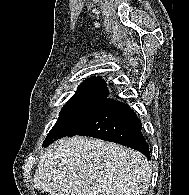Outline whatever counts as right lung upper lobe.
Instances as JSON below:
<instances>
[{
    "instance_id": "obj_1",
    "label": "right lung upper lobe",
    "mask_w": 189,
    "mask_h": 195,
    "mask_svg": "<svg viewBox=\"0 0 189 195\" xmlns=\"http://www.w3.org/2000/svg\"><path fill=\"white\" fill-rule=\"evenodd\" d=\"M78 92L108 95L106 83L102 78L99 77H91L83 81V83L78 87Z\"/></svg>"
}]
</instances>
